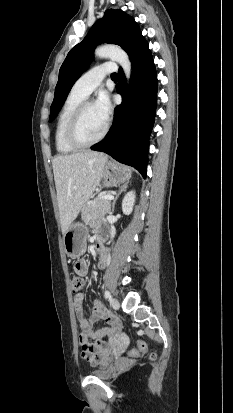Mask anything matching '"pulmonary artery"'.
<instances>
[{"mask_svg": "<svg viewBox=\"0 0 233 413\" xmlns=\"http://www.w3.org/2000/svg\"><path fill=\"white\" fill-rule=\"evenodd\" d=\"M115 70L116 66L113 63H104L95 66L84 73L75 82L73 90L87 97L95 88L100 85L101 81L106 75L115 72Z\"/></svg>", "mask_w": 233, "mask_h": 413, "instance_id": "e3ab8cb5", "label": "pulmonary artery"}]
</instances>
